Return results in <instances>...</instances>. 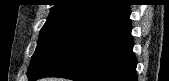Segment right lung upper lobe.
<instances>
[{
  "label": "right lung upper lobe",
  "instance_id": "obj_1",
  "mask_svg": "<svg viewBox=\"0 0 169 81\" xmlns=\"http://www.w3.org/2000/svg\"><path fill=\"white\" fill-rule=\"evenodd\" d=\"M123 5L122 0H58L48 19L78 17L90 21Z\"/></svg>",
  "mask_w": 169,
  "mask_h": 81
}]
</instances>
